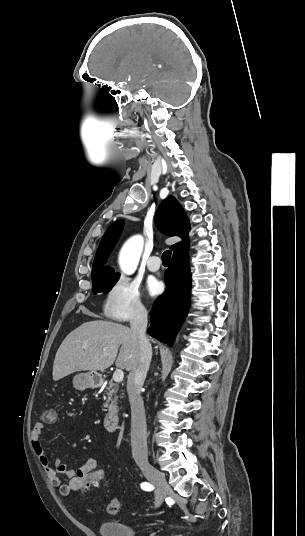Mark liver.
Returning <instances> with one entry per match:
<instances>
[{
  "mask_svg": "<svg viewBox=\"0 0 305 536\" xmlns=\"http://www.w3.org/2000/svg\"><path fill=\"white\" fill-rule=\"evenodd\" d=\"M99 318L95 314H90ZM84 346H88L85 350ZM121 346V348H120ZM106 348V352H103ZM118 348H120L119 356ZM139 342L130 328L113 322H85L70 332L56 352L53 364V380H61L73 372L107 370L115 362L116 368L132 370L138 366Z\"/></svg>",
  "mask_w": 305,
  "mask_h": 536,
  "instance_id": "obj_1",
  "label": "liver"
}]
</instances>
